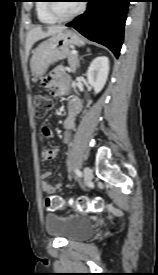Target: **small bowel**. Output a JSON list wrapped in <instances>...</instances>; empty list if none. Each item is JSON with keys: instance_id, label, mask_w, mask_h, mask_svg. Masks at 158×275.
Returning <instances> with one entry per match:
<instances>
[{"instance_id": "1", "label": "small bowel", "mask_w": 158, "mask_h": 275, "mask_svg": "<svg viewBox=\"0 0 158 275\" xmlns=\"http://www.w3.org/2000/svg\"><path fill=\"white\" fill-rule=\"evenodd\" d=\"M48 84L47 87L52 95L66 94L70 88V79L65 73L64 67H58L53 70L46 78ZM81 110V104L75 97H71L68 102V117L63 123L64 133L62 136L64 143H69L71 140V132L75 126V118ZM41 132L45 138H50L52 136V123L45 122L41 126ZM58 155V149H44L42 151V160H52ZM50 177L49 172H44L41 174V189L46 194L55 193L62 185L63 179L57 184H51L48 182Z\"/></svg>"}]
</instances>
